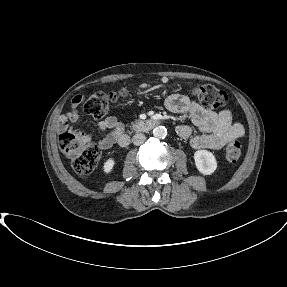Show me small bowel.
I'll return each mask as SVG.
<instances>
[{"instance_id": "1", "label": "small bowel", "mask_w": 287, "mask_h": 287, "mask_svg": "<svg viewBox=\"0 0 287 287\" xmlns=\"http://www.w3.org/2000/svg\"><path fill=\"white\" fill-rule=\"evenodd\" d=\"M81 98L76 96L71 103V110L59 117L58 128L61 131L73 130L71 124L80 118L77 110ZM166 108L177 114H188L193 124L201 134L193 135L189 125H179L176 129L179 137L190 139V144L195 149H220L228 142L243 135L241 124L232 120L229 109L214 112L205 109L201 105L191 101L180 94H172L165 100ZM98 130L103 134L99 140V146L103 149L112 147L124 131V124L114 116H109L98 123ZM90 137V135H86Z\"/></svg>"}]
</instances>
